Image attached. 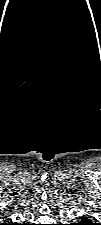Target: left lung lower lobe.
<instances>
[{
    "label": "left lung lower lobe",
    "mask_w": 101,
    "mask_h": 225,
    "mask_svg": "<svg viewBox=\"0 0 101 225\" xmlns=\"http://www.w3.org/2000/svg\"><path fill=\"white\" fill-rule=\"evenodd\" d=\"M74 225H94L93 222L91 220H89L88 218H84L81 222L76 223Z\"/></svg>",
    "instance_id": "0a47b994"
}]
</instances>
